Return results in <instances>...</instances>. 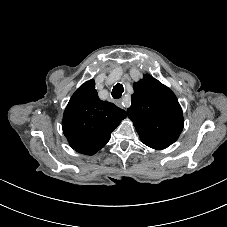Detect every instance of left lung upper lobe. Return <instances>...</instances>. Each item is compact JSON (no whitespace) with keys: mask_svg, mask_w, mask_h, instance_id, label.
Segmentation results:
<instances>
[{"mask_svg":"<svg viewBox=\"0 0 227 227\" xmlns=\"http://www.w3.org/2000/svg\"><path fill=\"white\" fill-rule=\"evenodd\" d=\"M127 113L137 131L169 144L178 139L184 126L182 109L175 94L148 74L134 83L132 104Z\"/></svg>","mask_w":227,"mask_h":227,"instance_id":"obj_1","label":"left lung upper lobe"}]
</instances>
